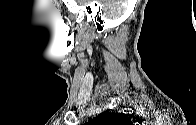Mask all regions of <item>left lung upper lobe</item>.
<instances>
[{
	"label": "left lung upper lobe",
	"mask_w": 196,
	"mask_h": 125,
	"mask_svg": "<svg viewBox=\"0 0 196 125\" xmlns=\"http://www.w3.org/2000/svg\"><path fill=\"white\" fill-rule=\"evenodd\" d=\"M93 125H131L130 118L124 113H104L90 122Z\"/></svg>",
	"instance_id": "1"
}]
</instances>
